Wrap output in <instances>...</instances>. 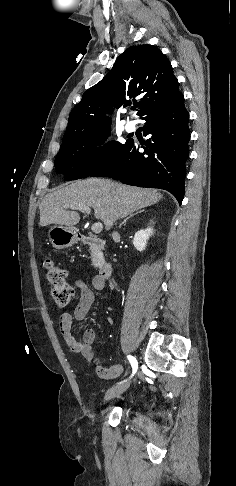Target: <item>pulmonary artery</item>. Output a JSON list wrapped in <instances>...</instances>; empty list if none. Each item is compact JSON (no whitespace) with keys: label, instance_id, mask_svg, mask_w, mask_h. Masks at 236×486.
<instances>
[{"label":"pulmonary artery","instance_id":"obj_1","mask_svg":"<svg viewBox=\"0 0 236 486\" xmlns=\"http://www.w3.org/2000/svg\"><path fill=\"white\" fill-rule=\"evenodd\" d=\"M125 129L127 132L132 133L136 131V123L133 120H130L126 123Z\"/></svg>","mask_w":236,"mask_h":486}]
</instances>
